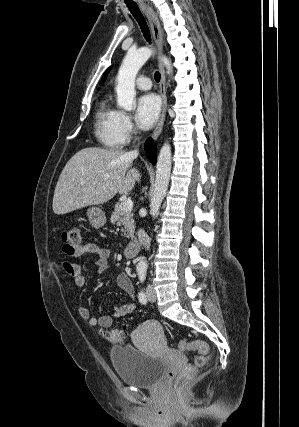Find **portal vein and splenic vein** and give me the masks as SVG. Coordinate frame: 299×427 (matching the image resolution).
I'll list each match as a JSON object with an SVG mask.
<instances>
[{
    "mask_svg": "<svg viewBox=\"0 0 299 427\" xmlns=\"http://www.w3.org/2000/svg\"><path fill=\"white\" fill-rule=\"evenodd\" d=\"M122 205H123V209L126 210V211L131 210L133 208V202L130 199L125 200L122 203Z\"/></svg>",
    "mask_w": 299,
    "mask_h": 427,
    "instance_id": "obj_1",
    "label": "portal vein and splenic vein"
}]
</instances>
